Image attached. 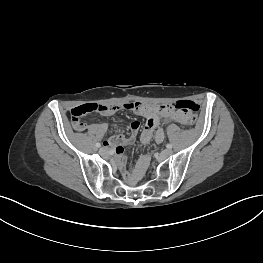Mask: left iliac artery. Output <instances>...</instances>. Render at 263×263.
Wrapping results in <instances>:
<instances>
[{"label":"left iliac artery","instance_id":"1","mask_svg":"<svg viewBox=\"0 0 263 263\" xmlns=\"http://www.w3.org/2000/svg\"><path fill=\"white\" fill-rule=\"evenodd\" d=\"M166 147H167L168 149H171V148H172V144H167Z\"/></svg>","mask_w":263,"mask_h":263}]
</instances>
